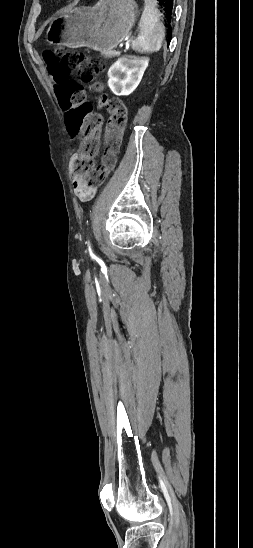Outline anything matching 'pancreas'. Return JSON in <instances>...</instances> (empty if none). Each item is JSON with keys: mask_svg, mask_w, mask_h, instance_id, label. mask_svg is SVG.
<instances>
[{"mask_svg": "<svg viewBox=\"0 0 253 548\" xmlns=\"http://www.w3.org/2000/svg\"><path fill=\"white\" fill-rule=\"evenodd\" d=\"M104 56L107 57V58H112V57H115L116 54L114 51H108L106 53H104Z\"/></svg>", "mask_w": 253, "mask_h": 548, "instance_id": "pancreas-1", "label": "pancreas"}]
</instances>
